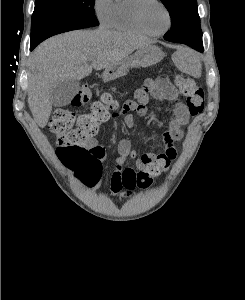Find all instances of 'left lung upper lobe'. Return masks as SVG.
Listing matches in <instances>:
<instances>
[{"label":"left lung upper lobe","mask_w":245,"mask_h":300,"mask_svg":"<svg viewBox=\"0 0 245 300\" xmlns=\"http://www.w3.org/2000/svg\"><path fill=\"white\" fill-rule=\"evenodd\" d=\"M171 17V29L164 39L171 41L202 34L196 0H161Z\"/></svg>","instance_id":"5c2ea615"}]
</instances>
